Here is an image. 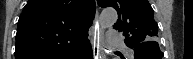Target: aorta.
Returning <instances> with one entry per match:
<instances>
[{
  "instance_id": "762f6f07",
  "label": "aorta",
  "mask_w": 193,
  "mask_h": 59,
  "mask_svg": "<svg viewBox=\"0 0 193 59\" xmlns=\"http://www.w3.org/2000/svg\"><path fill=\"white\" fill-rule=\"evenodd\" d=\"M118 19L115 9L107 8L102 11L99 17L100 26L103 30L112 27Z\"/></svg>"
}]
</instances>
